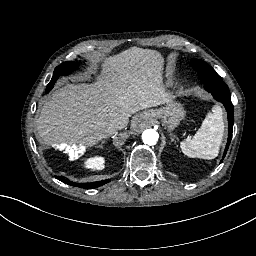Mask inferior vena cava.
Instances as JSON below:
<instances>
[{
    "mask_svg": "<svg viewBox=\"0 0 256 256\" xmlns=\"http://www.w3.org/2000/svg\"><path fill=\"white\" fill-rule=\"evenodd\" d=\"M126 123L123 122L121 124H118V125H114L113 127H111L109 129L110 132H115L117 129H122L123 127H125Z\"/></svg>",
    "mask_w": 256,
    "mask_h": 256,
    "instance_id": "obj_1",
    "label": "inferior vena cava"
}]
</instances>
